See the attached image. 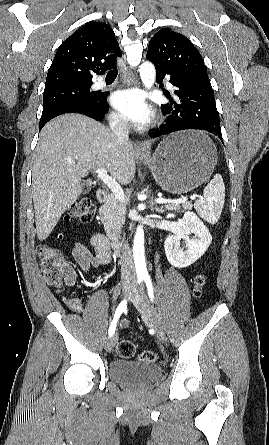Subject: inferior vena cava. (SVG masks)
<instances>
[{
	"label": "inferior vena cava",
	"mask_w": 269,
	"mask_h": 445,
	"mask_svg": "<svg viewBox=\"0 0 269 445\" xmlns=\"http://www.w3.org/2000/svg\"><path fill=\"white\" fill-rule=\"evenodd\" d=\"M111 130L116 139L120 142H127L129 139V122L123 116L112 119ZM121 256V279L124 281H136V272L131 249L127 241L123 242Z\"/></svg>",
	"instance_id": "inferior-vena-cava-1"
}]
</instances>
